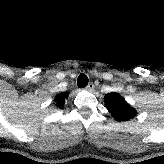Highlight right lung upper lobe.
I'll use <instances>...</instances> for the list:
<instances>
[{"label": "right lung upper lobe", "instance_id": "1", "mask_svg": "<svg viewBox=\"0 0 164 164\" xmlns=\"http://www.w3.org/2000/svg\"><path fill=\"white\" fill-rule=\"evenodd\" d=\"M67 96H68L67 92L58 95L57 98L55 99L56 105L62 108L64 106L65 99L67 98Z\"/></svg>", "mask_w": 164, "mask_h": 164}]
</instances>
